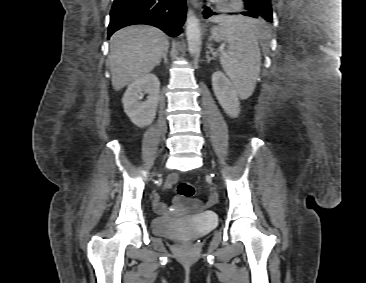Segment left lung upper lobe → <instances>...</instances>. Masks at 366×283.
I'll return each mask as SVG.
<instances>
[{"label":"left lung upper lobe","instance_id":"obj_1","mask_svg":"<svg viewBox=\"0 0 366 283\" xmlns=\"http://www.w3.org/2000/svg\"><path fill=\"white\" fill-rule=\"evenodd\" d=\"M250 1L253 10L260 13L259 18L272 22L271 0H247Z\"/></svg>","mask_w":366,"mask_h":283}]
</instances>
